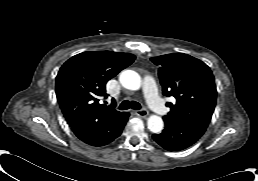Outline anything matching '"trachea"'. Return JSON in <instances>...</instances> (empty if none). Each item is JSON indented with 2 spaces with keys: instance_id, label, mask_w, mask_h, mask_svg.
<instances>
[{
  "instance_id": "1",
  "label": "trachea",
  "mask_w": 258,
  "mask_h": 181,
  "mask_svg": "<svg viewBox=\"0 0 258 181\" xmlns=\"http://www.w3.org/2000/svg\"><path fill=\"white\" fill-rule=\"evenodd\" d=\"M120 110H127L129 108H132V109H136V110H139L141 109V105L136 102V101H128V100H124L118 107Z\"/></svg>"
}]
</instances>
